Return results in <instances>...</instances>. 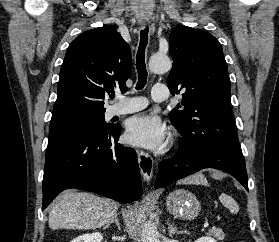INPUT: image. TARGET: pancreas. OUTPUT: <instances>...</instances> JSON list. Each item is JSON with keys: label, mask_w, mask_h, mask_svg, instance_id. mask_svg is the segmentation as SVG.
Segmentation results:
<instances>
[{"label": "pancreas", "mask_w": 279, "mask_h": 242, "mask_svg": "<svg viewBox=\"0 0 279 242\" xmlns=\"http://www.w3.org/2000/svg\"><path fill=\"white\" fill-rule=\"evenodd\" d=\"M210 234L217 237L218 239L224 238V233L221 229L214 228L210 231Z\"/></svg>", "instance_id": "obj_1"}]
</instances>
